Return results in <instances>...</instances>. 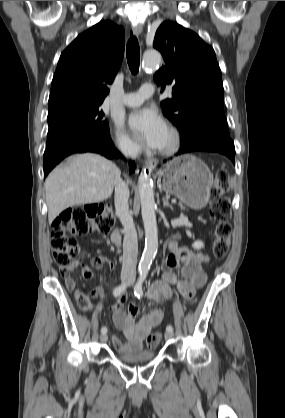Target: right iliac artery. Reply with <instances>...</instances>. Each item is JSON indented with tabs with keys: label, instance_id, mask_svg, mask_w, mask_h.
Returning <instances> with one entry per match:
<instances>
[{
	"label": "right iliac artery",
	"instance_id": "right-iliac-artery-1",
	"mask_svg": "<svg viewBox=\"0 0 285 418\" xmlns=\"http://www.w3.org/2000/svg\"><path fill=\"white\" fill-rule=\"evenodd\" d=\"M127 287V283H122L119 286H117L114 291H113V295L115 297L119 296L121 293H123L125 291ZM107 332V328L106 327H102L101 328V333H106Z\"/></svg>",
	"mask_w": 285,
	"mask_h": 418
}]
</instances>
